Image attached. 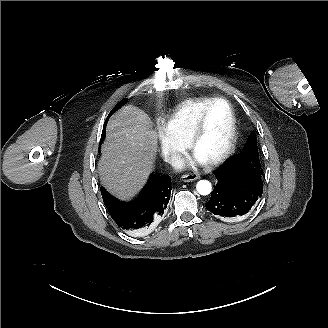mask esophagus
Wrapping results in <instances>:
<instances>
[{"label": "esophagus", "instance_id": "esophagus-1", "mask_svg": "<svg viewBox=\"0 0 328 328\" xmlns=\"http://www.w3.org/2000/svg\"><path fill=\"white\" fill-rule=\"evenodd\" d=\"M199 179V176L196 174H184L181 176L180 180L183 182H191Z\"/></svg>", "mask_w": 328, "mask_h": 328}]
</instances>
